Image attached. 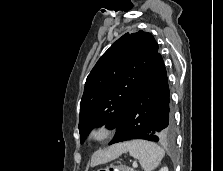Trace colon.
<instances>
[{"mask_svg": "<svg viewBox=\"0 0 223 171\" xmlns=\"http://www.w3.org/2000/svg\"><path fill=\"white\" fill-rule=\"evenodd\" d=\"M98 171H131V170H130V168H128L124 165H111V166L102 168Z\"/></svg>", "mask_w": 223, "mask_h": 171, "instance_id": "obj_1", "label": "colon"}]
</instances>
